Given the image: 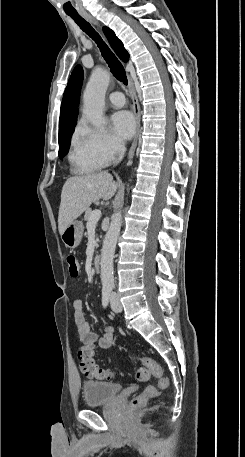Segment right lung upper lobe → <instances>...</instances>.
<instances>
[{"label":"right lung upper lobe","instance_id":"cb5924a9","mask_svg":"<svg viewBox=\"0 0 245 457\" xmlns=\"http://www.w3.org/2000/svg\"><path fill=\"white\" fill-rule=\"evenodd\" d=\"M111 47L116 54L124 61L127 62L129 58L128 52L125 50L123 43L116 37L114 32L108 27L103 28ZM83 82V70L80 65H77L68 81L65 89L60 112V125L66 126L75 123L78 116V106L80 102V91Z\"/></svg>","mask_w":245,"mask_h":457}]
</instances>
